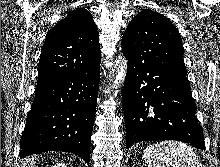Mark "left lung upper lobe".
I'll return each instance as SVG.
<instances>
[{"label":"left lung upper lobe","mask_w":220,"mask_h":167,"mask_svg":"<svg viewBox=\"0 0 220 167\" xmlns=\"http://www.w3.org/2000/svg\"><path fill=\"white\" fill-rule=\"evenodd\" d=\"M122 51L140 64L186 73L179 31L158 12L145 9L134 17L123 35Z\"/></svg>","instance_id":"1"}]
</instances>
